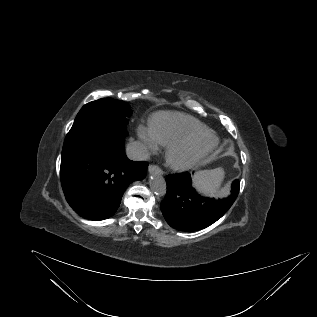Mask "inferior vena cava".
Instances as JSON below:
<instances>
[{"label": "inferior vena cava", "instance_id": "obj_1", "mask_svg": "<svg viewBox=\"0 0 317 317\" xmlns=\"http://www.w3.org/2000/svg\"><path fill=\"white\" fill-rule=\"evenodd\" d=\"M127 157L135 161H144L150 158V154L141 142L133 141L127 144L126 146Z\"/></svg>", "mask_w": 317, "mask_h": 317}]
</instances>
